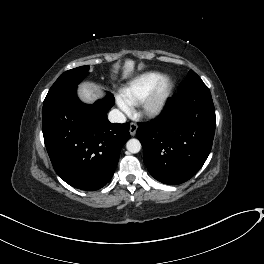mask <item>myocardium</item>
I'll use <instances>...</instances> for the list:
<instances>
[{"instance_id":"obj_1","label":"myocardium","mask_w":264,"mask_h":264,"mask_svg":"<svg viewBox=\"0 0 264 264\" xmlns=\"http://www.w3.org/2000/svg\"><path fill=\"white\" fill-rule=\"evenodd\" d=\"M173 88V80L169 76H161L138 103V115L147 119L158 117L163 112Z\"/></svg>"}]
</instances>
